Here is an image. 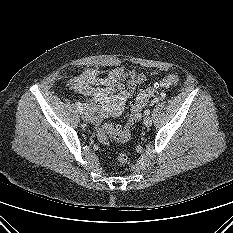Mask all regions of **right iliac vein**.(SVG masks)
Wrapping results in <instances>:
<instances>
[{
	"label": "right iliac vein",
	"mask_w": 233,
	"mask_h": 233,
	"mask_svg": "<svg viewBox=\"0 0 233 233\" xmlns=\"http://www.w3.org/2000/svg\"><path fill=\"white\" fill-rule=\"evenodd\" d=\"M82 119L84 120V121H89L90 120V116H89V114L88 113H86V112H84V113H82Z\"/></svg>",
	"instance_id": "63e3f726"
}]
</instances>
